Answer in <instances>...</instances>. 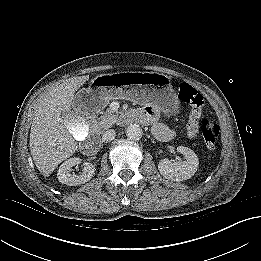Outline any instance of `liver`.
Listing matches in <instances>:
<instances>
[{"label": "liver", "mask_w": 261, "mask_h": 261, "mask_svg": "<svg viewBox=\"0 0 261 261\" xmlns=\"http://www.w3.org/2000/svg\"><path fill=\"white\" fill-rule=\"evenodd\" d=\"M88 80V75L71 77L50 89L38 103L29 145L33 161L44 176H49L77 149L67 124L75 117L70 114L74 93Z\"/></svg>", "instance_id": "6515ba94"}]
</instances>
